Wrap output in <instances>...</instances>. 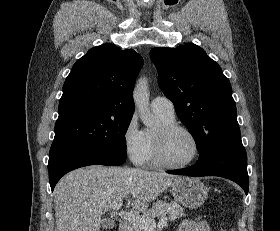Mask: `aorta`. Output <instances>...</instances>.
I'll return each instance as SVG.
<instances>
[{
  "instance_id": "obj_1",
  "label": "aorta",
  "mask_w": 280,
  "mask_h": 231,
  "mask_svg": "<svg viewBox=\"0 0 280 231\" xmlns=\"http://www.w3.org/2000/svg\"><path fill=\"white\" fill-rule=\"evenodd\" d=\"M134 104L139 112V117L147 127H158L160 121L158 117L153 116L150 112L148 80L147 78H140L138 80L133 92Z\"/></svg>"
}]
</instances>
